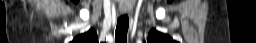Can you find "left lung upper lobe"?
Returning a JSON list of instances; mask_svg holds the SVG:
<instances>
[{"mask_svg":"<svg viewBox=\"0 0 256 43\" xmlns=\"http://www.w3.org/2000/svg\"><path fill=\"white\" fill-rule=\"evenodd\" d=\"M148 43H176L168 35L162 34L156 30H151L147 38Z\"/></svg>","mask_w":256,"mask_h":43,"instance_id":"left-lung-upper-lobe-1","label":"left lung upper lobe"}]
</instances>
